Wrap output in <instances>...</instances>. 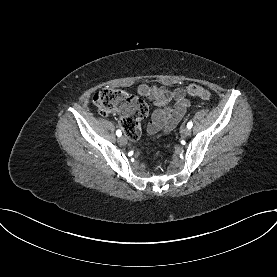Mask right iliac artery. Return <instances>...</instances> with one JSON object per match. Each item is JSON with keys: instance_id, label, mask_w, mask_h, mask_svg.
<instances>
[{"instance_id": "obj_1", "label": "right iliac artery", "mask_w": 277, "mask_h": 277, "mask_svg": "<svg viewBox=\"0 0 277 277\" xmlns=\"http://www.w3.org/2000/svg\"><path fill=\"white\" fill-rule=\"evenodd\" d=\"M116 135H117L118 137H120V136L122 135L121 131H120V130H117V131H116Z\"/></svg>"}]
</instances>
